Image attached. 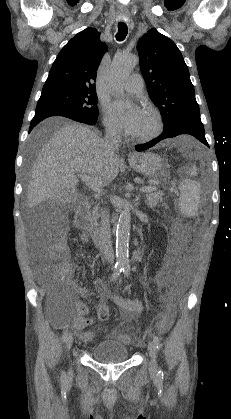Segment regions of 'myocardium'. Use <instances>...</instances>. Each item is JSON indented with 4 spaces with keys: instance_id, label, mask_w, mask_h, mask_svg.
<instances>
[{
    "instance_id": "1",
    "label": "myocardium",
    "mask_w": 231,
    "mask_h": 419,
    "mask_svg": "<svg viewBox=\"0 0 231 419\" xmlns=\"http://www.w3.org/2000/svg\"><path fill=\"white\" fill-rule=\"evenodd\" d=\"M145 111H147L149 114L152 115L154 122H155V127L154 129L144 135H133L132 138L136 141H140V142H147L150 140H153L154 138H156L163 130V120H162V116L160 114V112L152 107V106H147L145 108Z\"/></svg>"
}]
</instances>
